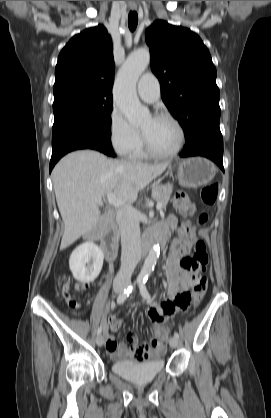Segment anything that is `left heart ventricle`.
Instances as JSON below:
<instances>
[{"mask_svg": "<svg viewBox=\"0 0 271 418\" xmlns=\"http://www.w3.org/2000/svg\"><path fill=\"white\" fill-rule=\"evenodd\" d=\"M152 148L160 153L173 151L179 142V133L175 125L162 118L148 117L141 125Z\"/></svg>", "mask_w": 271, "mask_h": 418, "instance_id": "b2bd125f", "label": "left heart ventricle"}]
</instances>
